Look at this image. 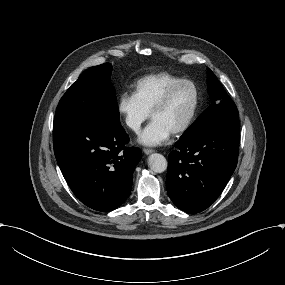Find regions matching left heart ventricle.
Wrapping results in <instances>:
<instances>
[{
    "label": "left heart ventricle",
    "instance_id": "left-heart-ventricle-1",
    "mask_svg": "<svg viewBox=\"0 0 285 285\" xmlns=\"http://www.w3.org/2000/svg\"><path fill=\"white\" fill-rule=\"evenodd\" d=\"M195 102V91L192 85L182 84L172 94L169 103L153 114L172 131L180 126L189 116Z\"/></svg>",
    "mask_w": 285,
    "mask_h": 285
}]
</instances>
